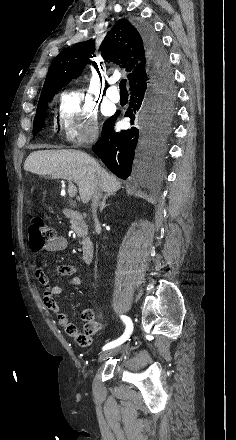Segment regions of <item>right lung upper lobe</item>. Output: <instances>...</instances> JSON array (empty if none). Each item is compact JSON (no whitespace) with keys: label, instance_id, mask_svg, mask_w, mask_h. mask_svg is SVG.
I'll list each match as a JSON object with an SVG mask.
<instances>
[{"label":"right lung upper lobe","instance_id":"cb5924a9","mask_svg":"<svg viewBox=\"0 0 236 440\" xmlns=\"http://www.w3.org/2000/svg\"><path fill=\"white\" fill-rule=\"evenodd\" d=\"M106 62H113L129 72L130 90L149 81L148 56L140 28L126 19H120L106 35L100 46ZM94 52L92 40L77 44L59 53L47 74L40 99L58 92L73 78L79 76ZM95 56V55H94Z\"/></svg>","mask_w":236,"mask_h":440}]
</instances>
